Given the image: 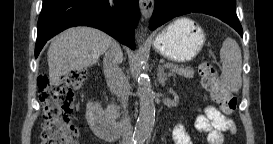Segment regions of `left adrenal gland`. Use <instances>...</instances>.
<instances>
[{
    "label": "left adrenal gland",
    "instance_id": "left-adrenal-gland-1",
    "mask_svg": "<svg viewBox=\"0 0 273 144\" xmlns=\"http://www.w3.org/2000/svg\"><path fill=\"white\" fill-rule=\"evenodd\" d=\"M157 72H158L157 73L158 81L164 87L166 81L168 80V78L170 76H172V74L171 73H165L164 68L161 65L158 66Z\"/></svg>",
    "mask_w": 273,
    "mask_h": 144
}]
</instances>
